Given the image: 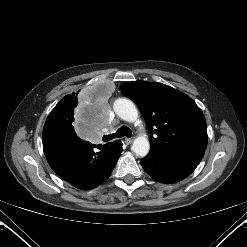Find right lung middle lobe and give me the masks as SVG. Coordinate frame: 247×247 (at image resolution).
<instances>
[{"mask_svg": "<svg viewBox=\"0 0 247 247\" xmlns=\"http://www.w3.org/2000/svg\"><path fill=\"white\" fill-rule=\"evenodd\" d=\"M76 100L64 103L62 105H56L49 114L47 120L73 126L75 120Z\"/></svg>", "mask_w": 247, "mask_h": 247, "instance_id": "dd1d6c3e", "label": "right lung middle lobe"}]
</instances>
